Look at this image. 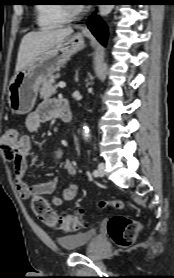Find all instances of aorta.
I'll use <instances>...</instances> for the list:
<instances>
[{"label":"aorta","mask_w":174,"mask_h":278,"mask_svg":"<svg viewBox=\"0 0 174 278\" xmlns=\"http://www.w3.org/2000/svg\"><path fill=\"white\" fill-rule=\"evenodd\" d=\"M113 9V5H100L99 6V13L101 16H106L108 15ZM82 135L83 138L87 141L90 138V130L89 127L84 124L82 127Z\"/></svg>","instance_id":"obj_1"}]
</instances>
